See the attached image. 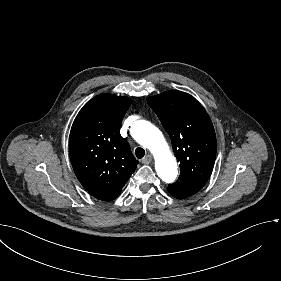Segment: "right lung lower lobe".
Masks as SVG:
<instances>
[{
    "label": "right lung lower lobe",
    "mask_w": 281,
    "mask_h": 281,
    "mask_svg": "<svg viewBox=\"0 0 281 281\" xmlns=\"http://www.w3.org/2000/svg\"><path fill=\"white\" fill-rule=\"evenodd\" d=\"M119 194H120V192H119ZM119 194H118V195H119ZM118 195H117V196H118ZM117 196H116V197H117ZM116 197H115V198H116ZM115 198H114V199H115ZM114 199H112V200H114Z\"/></svg>",
    "instance_id": "98d812e1"
}]
</instances>
